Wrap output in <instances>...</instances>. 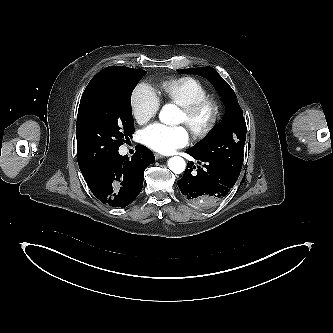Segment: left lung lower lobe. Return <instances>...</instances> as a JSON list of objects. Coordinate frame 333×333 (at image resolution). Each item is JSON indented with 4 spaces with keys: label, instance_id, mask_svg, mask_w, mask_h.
<instances>
[{
    "label": "left lung lower lobe",
    "instance_id": "left-lung-lower-lobe-1",
    "mask_svg": "<svg viewBox=\"0 0 333 333\" xmlns=\"http://www.w3.org/2000/svg\"><path fill=\"white\" fill-rule=\"evenodd\" d=\"M198 163L203 162V167H197V173L193 162L187 165L183 177L178 181V187L185 201L200 207L212 208L223 200L238 177L228 173L224 168L198 156L191 149L186 151Z\"/></svg>",
    "mask_w": 333,
    "mask_h": 333
}]
</instances>
